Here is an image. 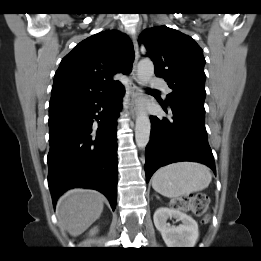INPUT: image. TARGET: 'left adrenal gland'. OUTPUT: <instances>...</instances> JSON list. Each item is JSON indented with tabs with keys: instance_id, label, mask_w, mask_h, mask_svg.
<instances>
[{
	"instance_id": "1",
	"label": "left adrenal gland",
	"mask_w": 261,
	"mask_h": 261,
	"mask_svg": "<svg viewBox=\"0 0 261 261\" xmlns=\"http://www.w3.org/2000/svg\"><path fill=\"white\" fill-rule=\"evenodd\" d=\"M156 198H157V199H160V197H159V196H156Z\"/></svg>"
}]
</instances>
